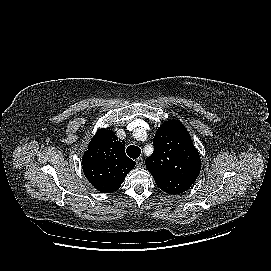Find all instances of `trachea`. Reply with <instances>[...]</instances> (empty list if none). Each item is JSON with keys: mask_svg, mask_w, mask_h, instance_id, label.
<instances>
[{"mask_svg": "<svg viewBox=\"0 0 271 271\" xmlns=\"http://www.w3.org/2000/svg\"><path fill=\"white\" fill-rule=\"evenodd\" d=\"M126 152L130 158L136 159L140 156L141 149L137 146L130 145L127 147Z\"/></svg>", "mask_w": 271, "mask_h": 271, "instance_id": "1", "label": "trachea"}]
</instances>
